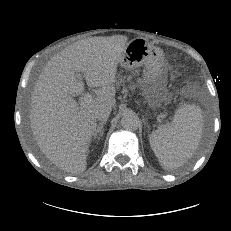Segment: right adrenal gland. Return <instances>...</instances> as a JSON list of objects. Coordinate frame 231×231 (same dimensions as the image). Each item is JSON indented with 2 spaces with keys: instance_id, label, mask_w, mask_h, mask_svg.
<instances>
[{
  "instance_id": "1",
  "label": "right adrenal gland",
  "mask_w": 231,
  "mask_h": 231,
  "mask_svg": "<svg viewBox=\"0 0 231 231\" xmlns=\"http://www.w3.org/2000/svg\"><path fill=\"white\" fill-rule=\"evenodd\" d=\"M105 124H106V121L101 122V123L98 124L97 129H96V131H95V133H94V139H95V140H96V139H97V140H100L101 137L103 136V134H104V129H103V127H104Z\"/></svg>"
}]
</instances>
